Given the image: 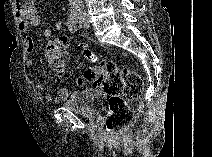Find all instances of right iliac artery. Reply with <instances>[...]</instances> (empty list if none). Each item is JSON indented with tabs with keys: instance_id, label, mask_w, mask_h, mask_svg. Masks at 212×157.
<instances>
[{
	"instance_id": "82829eb1",
	"label": "right iliac artery",
	"mask_w": 212,
	"mask_h": 157,
	"mask_svg": "<svg viewBox=\"0 0 212 157\" xmlns=\"http://www.w3.org/2000/svg\"><path fill=\"white\" fill-rule=\"evenodd\" d=\"M68 30L72 33L77 31V21L74 16H71L67 23Z\"/></svg>"
}]
</instances>
